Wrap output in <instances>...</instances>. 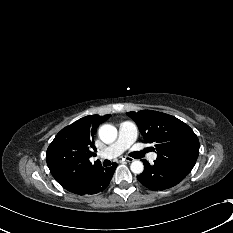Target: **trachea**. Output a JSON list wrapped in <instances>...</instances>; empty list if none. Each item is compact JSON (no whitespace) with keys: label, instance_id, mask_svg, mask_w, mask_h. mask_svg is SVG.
<instances>
[{"label":"trachea","instance_id":"trachea-1","mask_svg":"<svg viewBox=\"0 0 233 233\" xmlns=\"http://www.w3.org/2000/svg\"><path fill=\"white\" fill-rule=\"evenodd\" d=\"M146 152H149V150L146 149V150L140 151V152H133L130 154V156L133 158L139 159V158H142ZM103 164H104V166H109V165H111V162L109 160H105Z\"/></svg>","mask_w":233,"mask_h":233}]
</instances>
